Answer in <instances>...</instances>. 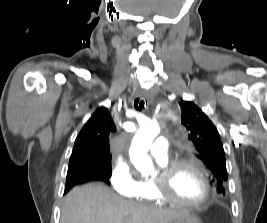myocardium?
<instances>
[{
    "label": "myocardium",
    "instance_id": "obj_1",
    "mask_svg": "<svg viewBox=\"0 0 267 223\" xmlns=\"http://www.w3.org/2000/svg\"><path fill=\"white\" fill-rule=\"evenodd\" d=\"M181 167H189L192 168L197 172V174L202 179L204 186H205V193L204 196L198 201H186L179 199L172 195L169 190V182L171 177L177 172V170ZM152 183L155 189V192L158 198L164 202L177 204L183 207L188 208H197L204 205L208 199L210 198L211 188L210 182L208 177L204 171V169L197 164L193 160L182 159V160H175L171 162H167L165 165H162L159 169L156 177L152 179Z\"/></svg>",
    "mask_w": 267,
    "mask_h": 223
}]
</instances>
